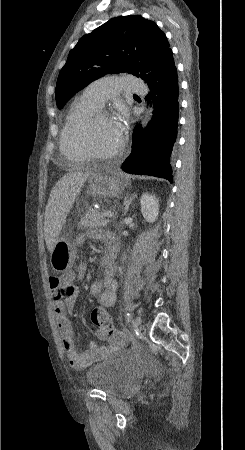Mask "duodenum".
<instances>
[{
  "mask_svg": "<svg viewBox=\"0 0 245 450\" xmlns=\"http://www.w3.org/2000/svg\"><path fill=\"white\" fill-rule=\"evenodd\" d=\"M110 258L109 257H105L104 259L101 260V266L104 270H107L110 266Z\"/></svg>",
  "mask_w": 245,
  "mask_h": 450,
  "instance_id": "obj_1",
  "label": "duodenum"
}]
</instances>
